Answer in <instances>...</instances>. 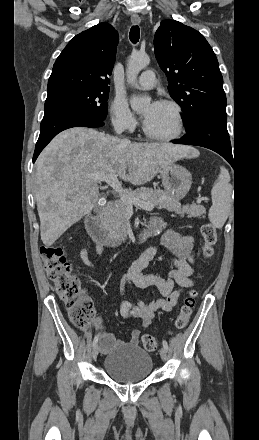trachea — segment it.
<instances>
[{
  "label": "trachea",
  "instance_id": "1",
  "mask_svg": "<svg viewBox=\"0 0 259 440\" xmlns=\"http://www.w3.org/2000/svg\"><path fill=\"white\" fill-rule=\"evenodd\" d=\"M129 38L132 43L136 44L140 38V29L139 26H132L129 33Z\"/></svg>",
  "mask_w": 259,
  "mask_h": 440
}]
</instances>
